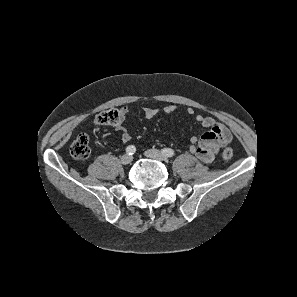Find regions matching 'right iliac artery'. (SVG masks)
Instances as JSON below:
<instances>
[{"label":"right iliac artery","instance_id":"obj_1","mask_svg":"<svg viewBox=\"0 0 297 297\" xmlns=\"http://www.w3.org/2000/svg\"><path fill=\"white\" fill-rule=\"evenodd\" d=\"M135 152H136V148H135L134 145H129V146H127V148H126V153H127L128 155H133Z\"/></svg>","mask_w":297,"mask_h":297}]
</instances>
